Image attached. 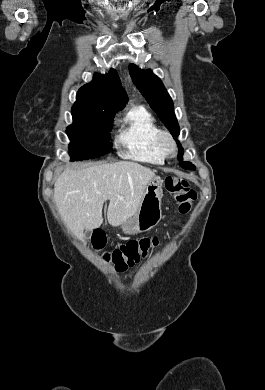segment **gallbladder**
Here are the masks:
<instances>
[{
    "mask_svg": "<svg viewBox=\"0 0 265 390\" xmlns=\"http://www.w3.org/2000/svg\"><path fill=\"white\" fill-rule=\"evenodd\" d=\"M90 235V232L89 231H85V236H89Z\"/></svg>",
    "mask_w": 265,
    "mask_h": 390,
    "instance_id": "1",
    "label": "gallbladder"
}]
</instances>
